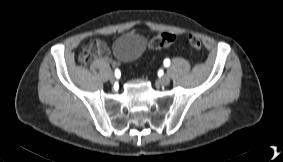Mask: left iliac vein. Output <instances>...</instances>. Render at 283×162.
Returning a JSON list of instances; mask_svg holds the SVG:
<instances>
[{
    "instance_id": "4c4485c4",
    "label": "left iliac vein",
    "mask_w": 283,
    "mask_h": 162,
    "mask_svg": "<svg viewBox=\"0 0 283 162\" xmlns=\"http://www.w3.org/2000/svg\"><path fill=\"white\" fill-rule=\"evenodd\" d=\"M158 82L161 84V85H169L170 83V78L167 76V75H163L161 76L159 79H158Z\"/></svg>"
}]
</instances>
